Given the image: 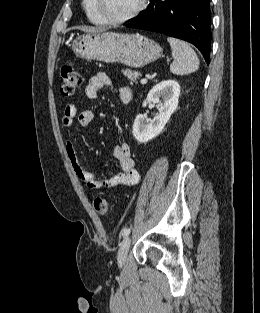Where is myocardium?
<instances>
[{"mask_svg":"<svg viewBox=\"0 0 260 313\" xmlns=\"http://www.w3.org/2000/svg\"><path fill=\"white\" fill-rule=\"evenodd\" d=\"M145 6L146 0H138L137 5L130 13L120 18H111L105 14L104 9L102 7V0H94V7L98 15L104 21L105 24L110 25H119L131 21L143 11Z\"/></svg>","mask_w":260,"mask_h":313,"instance_id":"1","label":"myocardium"}]
</instances>
